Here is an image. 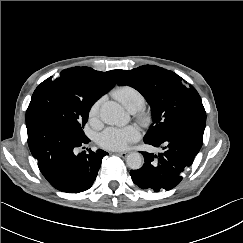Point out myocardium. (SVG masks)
<instances>
[{"label": "myocardium", "instance_id": "1", "mask_svg": "<svg viewBox=\"0 0 243 243\" xmlns=\"http://www.w3.org/2000/svg\"><path fill=\"white\" fill-rule=\"evenodd\" d=\"M136 118L143 126H147L151 122V113L149 110L140 107L136 110Z\"/></svg>", "mask_w": 243, "mask_h": 243}]
</instances>
